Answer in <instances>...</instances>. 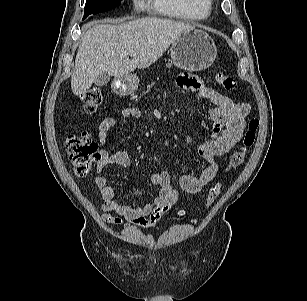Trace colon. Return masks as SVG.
<instances>
[{"label":"colon","instance_id":"colon-1","mask_svg":"<svg viewBox=\"0 0 307 301\" xmlns=\"http://www.w3.org/2000/svg\"><path fill=\"white\" fill-rule=\"evenodd\" d=\"M216 81L225 90H232L236 86L234 77L225 72H218ZM79 103L87 114L94 113L102 103L100 89L93 87L85 90L79 96ZM258 127V118H251L248 122L241 148L234 152L228 160L227 172L232 171L243 163L247 152L255 143ZM65 149L78 176L87 175L92 165L99 159L98 145L87 132L68 135L65 138ZM221 187L222 184L217 182L209 189L205 200L207 207L213 205L221 191Z\"/></svg>","mask_w":307,"mask_h":301}]
</instances>
